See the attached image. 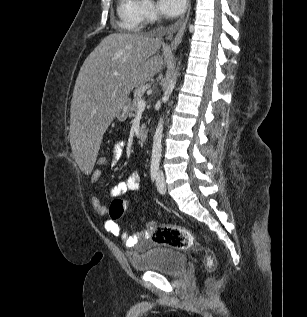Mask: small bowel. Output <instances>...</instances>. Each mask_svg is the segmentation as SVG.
Listing matches in <instances>:
<instances>
[{"label":"small bowel","mask_w":307,"mask_h":317,"mask_svg":"<svg viewBox=\"0 0 307 317\" xmlns=\"http://www.w3.org/2000/svg\"><path fill=\"white\" fill-rule=\"evenodd\" d=\"M127 145L124 140H117L112 148L111 158L108 162L107 168H115L121 159L124 156ZM102 171L100 169H94L90 174V182L93 186L97 184ZM140 186V177L137 172H132L125 181L117 183L110 189L111 197L122 196L128 192H133L139 189ZM91 203L96 213L99 215H105L108 211L106 205H104L100 199L93 195L91 197ZM105 228L107 231L111 232L114 235H119L122 241L128 247L138 246L139 248H144L147 245L148 235L146 232H138L134 236H130L126 231H122L121 227L114 221L108 220L105 222Z\"/></svg>","instance_id":"obj_1"}]
</instances>
